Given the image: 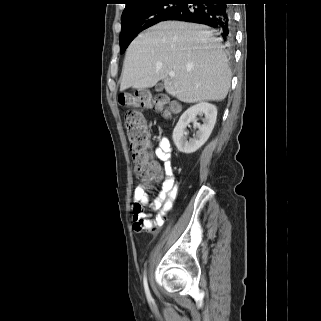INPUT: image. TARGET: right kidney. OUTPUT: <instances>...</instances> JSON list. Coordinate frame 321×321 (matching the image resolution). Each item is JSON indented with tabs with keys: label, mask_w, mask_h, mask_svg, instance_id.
I'll list each match as a JSON object with an SVG mask.
<instances>
[{
	"label": "right kidney",
	"mask_w": 321,
	"mask_h": 321,
	"mask_svg": "<svg viewBox=\"0 0 321 321\" xmlns=\"http://www.w3.org/2000/svg\"><path fill=\"white\" fill-rule=\"evenodd\" d=\"M197 115H204L203 124L196 123ZM217 118V108L208 102H200L188 108L180 117L173 130V141L177 149L185 154L197 151L208 140ZM195 122L198 128L194 138L187 140V126L190 122Z\"/></svg>",
	"instance_id": "obj_1"
}]
</instances>
